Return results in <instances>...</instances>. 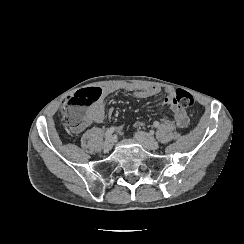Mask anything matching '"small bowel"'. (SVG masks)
Wrapping results in <instances>:
<instances>
[{"label":"small bowel","mask_w":244,"mask_h":244,"mask_svg":"<svg viewBox=\"0 0 244 244\" xmlns=\"http://www.w3.org/2000/svg\"><path fill=\"white\" fill-rule=\"evenodd\" d=\"M101 92L100 99L95 102L93 105L88 107L86 113L89 116V125L92 123H103L106 120L105 111H104V102L105 100L112 95L113 93L119 91H125L132 93L135 97L146 99L153 95H156L160 92L158 87H138L130 83H110L102 88H97ZM166 97L163 99V105L169 106L173 112L175 123L179 128L187 127L189 123V116L185 109L176 106L172 102L173 89L166 88ZM88 125V126H89ZM137 126H143L142 122H137ZM80 133V132H74Z\"/></svg>","instance_id":"small-bowel-1"}]
</instances>
